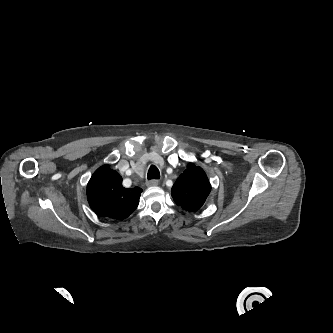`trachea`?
<instances>
[{"mask_svg": "<svg viewBox=\"0 0 333 333\" xmlns=\"http://www.w3.org/2000/svg\"><path fill=\"white\" fill-rule=\"evenodd\" d=\"M147 178L149 180L151 179H159L160 178V172L158 170V168L154 165H151L149 170H148V175Z\"/></svg>", "mask_w": 333, "mask_h": 333, "instance_id": "trachea-1", "label": "trachea"}]
</instances>
